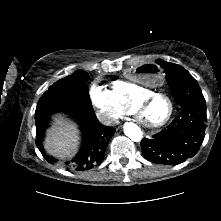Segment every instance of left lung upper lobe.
<instances>
[{
    "mask_svg": "<svg viewBox=\"0 0 221 221\" xmlns=\"http://www.w3.org/2000/svg\"><path fill=\"white\" fill-rule=\"evenodd\" d=\"M161 67L167 74V82L175 100L182 107L184 105L205 101L197 81L182 66L159 61Z\"/></svg>",
    "mask_w": 221,
    "mask_h": 221,
    "instance_id": "1",
    "label": "left lung upper lobe"
}]
</instances>
